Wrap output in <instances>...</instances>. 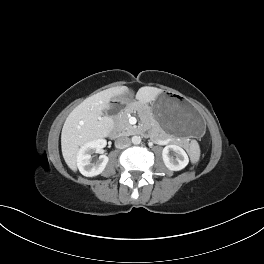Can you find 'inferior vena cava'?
<instances>
[{"label": "inferior vena cava", "instance_id": "obj_1", "mask_svg": "<svg viewBox=\"0 0 264 264\" xmlns=\"http://www.w3.org/2000/svg\"><path fill=\"white\" fill-rule=\"evenodd\" d=\"M130 143H131V141L128 137L121 136V137L116 139L115 146L117 148L123 149V148L130 146Z\"/></svg>", "mask_w": 264, "mask_h": 264}]
</instances>
